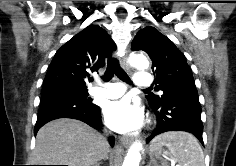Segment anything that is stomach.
Wrapping results in <instances>:
<instances>
[{
	"label": "stomach",
	"mask_w": 236,
	"mask_h": 166,
	"mask_svg": "<svg viewBox=\"0 0 236 166\" xmlns=\"http://www.w3.org/2000/svg\"><path fill=\"white\" fill-rule=\"evenodd\" d=\"M161 152L162 150L150 145L149 155L152 166H165L164 163L161 165V163L159 162Z\"/></svg>",
	"instance_id": "1"
}]
</instances>
